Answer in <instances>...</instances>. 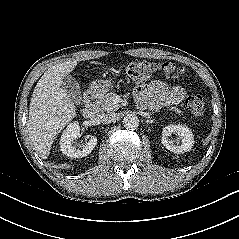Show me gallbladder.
<instances>
[{"label":"gallbladder","instance_id":"1","mask_svg":"<svg viewBox=\"0 0 239 239\" xmlns=\"http://www.w3.org/2000/svg\"><path fill=\"white\" fill-rule=\"evenodd\" d=\"M62 88L66 90L69 98L76 104H81L82 95L79 83L72 76H65L62 80Z\"/></svg>","mask_w":239,"mask_h":239}]
</instances>
